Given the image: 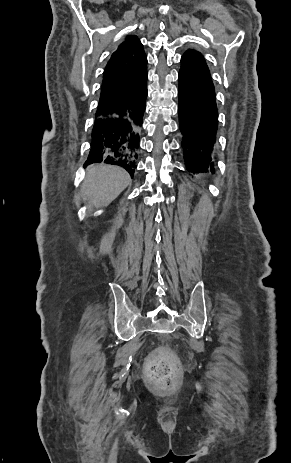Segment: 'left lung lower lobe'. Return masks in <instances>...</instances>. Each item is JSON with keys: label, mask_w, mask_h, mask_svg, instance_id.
Returning a JSON list of instances; mask_svg holds the SVG:
<instances>
[{"label": "left lung lower lobe", "mask_w": 291, "mask_h": 463, "mask_svg": "<svg viewBox=\"0 0 291 463\" xmlns=\"http://www.w3.org/2000/svg\"><path fill=\"white\" fill-rule=\"evenodd\" d=\"M178 79L179 127L186 168L213 171L218 111L212 79L187 69H180Z\"/></svg>", "instance_id": "0a47b994"}]
</instances>
